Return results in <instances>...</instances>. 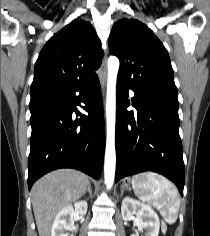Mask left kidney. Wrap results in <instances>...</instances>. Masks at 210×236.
Wrapping results in <instances>:
<instances>
[{
	"mask_svg": "<svg viewBox=\"0 0 210 236\" xmlns=\"http://www.w3.org/2000/svg\"><path fill=\"white\" fill-rule=\"evenodd\" d=\"M121 214L123 220H128L136 215L139 230L145 229L147 236H158L160 221L157 213L151 207L130 197H125L121 205ZM131 236H139V234L136 233Z\"/></svg>",
	"mask_w": 210,
	"mask_h": 236,
	"instance_id": "1",
	"label": "left kidney"
}]
</instances>
